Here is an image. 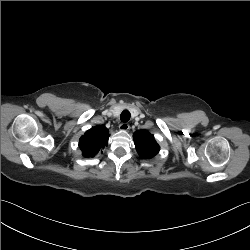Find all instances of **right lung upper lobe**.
Returning <instances> with one entry per match:
<instances>
[{"instance_id": "right-lung-upper-lobe-1", "label": "right lung upper lobe", "mask_w": 250, "mask_h": 250, "mask_svg": "<svg viewBox=\"0 0 250 250\" xmlns=\"http://www.w3.org/2000/svg\"><path fill=\"white\" fill-rule=\"evenodd\" d=\"M109 132L102 125L92 127L79 141V147L84 157L95 156L102 148L108 144Z\"/></svg>"}]
</instances>
